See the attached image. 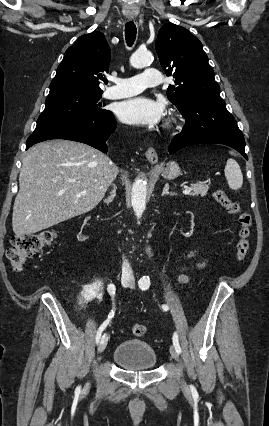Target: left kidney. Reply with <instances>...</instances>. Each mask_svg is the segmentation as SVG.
<instances>
[{
	"mask_svg": "<svg viewBox=\"0 0 269 426\" xmlns=\"http://www.w3.org/2000/svg\"><path fill=\"white\" fill-rule=\"evenodd\" d=\"M188 214L191 215L189 220L190 226L188 227V230H186V228H183L181 230V234L185 237H190L193 234V228H194V215L192 212H188Z\"/></svg>",
	"mask_w": 269,
	"mask_h": 426,
	"instance_id": "5707ae66",
	"label": "left kidney"
}]
</instances>
